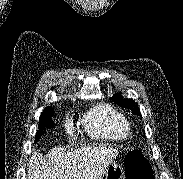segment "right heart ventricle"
<instances>
[{"label":"right heart ventricle","instance_id":"right-heart-ventricle-1","mask_svg":"<svg viewBox=\"0 0 183 179\" xmlns=\"http://www.w3.org/2000/svg\"><path fill=\"white\" fill-rule=\"evenodd\" d=\"M84 126L91 137L98 139L121 140L130 131L123 114L109 104H99L88 111Z\"/></svg>","mask_w":183,"mask_h":179}]
</instances>
